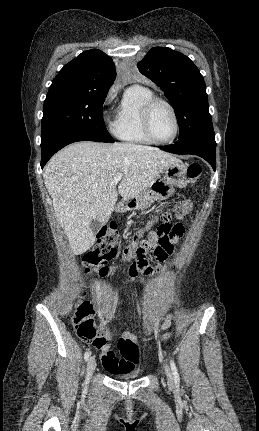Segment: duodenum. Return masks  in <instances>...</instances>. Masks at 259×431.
<instances>
[{
	"label": "duodenum",
	"instance_id": "1",
	"mask_svg": "<svg viewBox=\"0 0 259 431\" xmlns=\"http://www.w3.org/2000/svg\"><path fill=\"white\" fill-rule=\"evenodd\" d=\"M124 208V205L123 204H119L118 206H117V209L118 210H121V209H123Z\"/></svg>",
	"mask_w": 259,
	"mask_h": 431
}]
</instances>
